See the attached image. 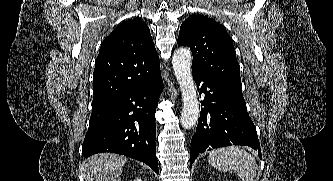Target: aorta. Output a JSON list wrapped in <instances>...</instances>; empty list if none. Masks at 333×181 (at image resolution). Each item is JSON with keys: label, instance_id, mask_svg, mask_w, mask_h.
Listing matches in <instances>:
<instances>
[{"label": "aorta", "instance_id": "762f6f07", "mask_svg": "<svg viewBox=\"0 0 333 181\" xmlns=\"http://www.w3.org/2000/svg\"><path fill=\"white\" fill-rule=\"evenodd\" d=\"M191 63V53L187 48L182 47L175 50L172 65L182 93L181 125L184 129L192 128L196 124L200 113Z\"/></svg>", "mask_w": 333, "mask_h": 181}]
</instances>
